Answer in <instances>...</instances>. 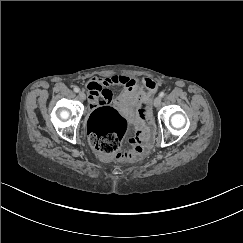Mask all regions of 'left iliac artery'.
I'll use <instances>...</instances> for the list:
<instances>
[{
	"instance_id": "obj_1",
	"label": "left iliac artery",
	"mask_w": 243,
	"mask_h": 243,
	"mask_svg": "<svg viewBox=\"0 0 243 243\" xmlns=\"http://www.w3.org/2000/svg\"><path fill=\"white\" fill-rule=\"evenodd\" d=\"M164 95H165V93L162 91V92H160V94H159V96L162 98V97H164Z\"/></svg>"
}]
</instances>
